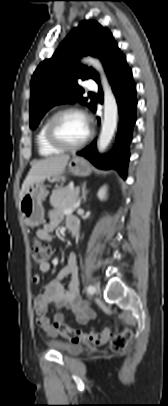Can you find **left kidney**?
I'll list each match as a JSON object with an SVG mask.
<instances>
[{
  "mask_svg": "<svg viewBox=\"0 0 168 406\" xmlns=\"http://www.w3.org/2000/svg\"><path fill=\"white\" fill-rule=\"evenodd\" d=\"M97 195L100 200H105L107 196V187L103 186L102 188H100Z\"/></svg>",
  "mask_w": 168,
  "mask_h": 406,
  "instance_id": "left-kidney-1",
  "label": "left kidney"
}]
</instances>
